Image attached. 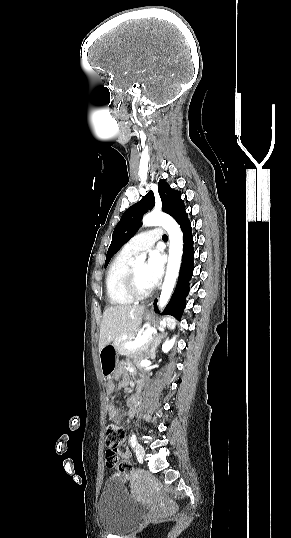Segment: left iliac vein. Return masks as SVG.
I'll list each match as a JSON object with an SVG mask.
<instances>
[{
	"mask_svg": "<svg viewBox=\"0 0 291 538\" xmlns=\"http://www.w3.org/2000/svg\"><path fill=\"white\" fill-rule=\"evenodd\" d=\"M136 456L138 459H143L145 455V449L141 444H137L135 447Z\"/></svg>",
	"mask_w": 291,
	"mask_h": 538,
	"instance_id": "obj_1",
	"label": "left iliac vein"
}]
</instances>
